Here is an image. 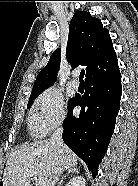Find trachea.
Here are the masks:
<instances>
[{"instance_id": "1", "label": "trachea", "mask_w": 138, "mask_h": 186, "mask_svg": "<svg viewBox=\"0 0 138 186\" xmlns=\"http://www.w3.org/2000/svg\"><path fill=\"white\" fill-rule=\"evenodd\" d=\"M84 75H85V71L82 70L81 73H80V75H79L80 81H83Z\"/></svg>"}]
</instances>
